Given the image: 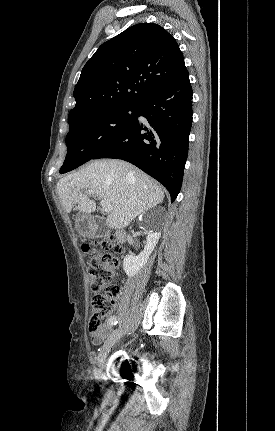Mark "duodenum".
<instances>
[{"label": "duodenum", "instance_id": "410a0bca", "mask_svg": "<svg viewBox=\"0 0 275 431\" xmlns=\"http://www.w3.org/2000/svg\"><path fill=\"white\" fill-rule=\"evenodd\" d=\"M89 233L97 237L101 234V230L96 223H91L89 226ZM115 236L119 243H124L126 241V233L123 230H116Z\"/></svg>", "mask_w": 275, "mask_h": 431}]
</instances>
